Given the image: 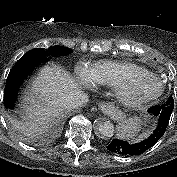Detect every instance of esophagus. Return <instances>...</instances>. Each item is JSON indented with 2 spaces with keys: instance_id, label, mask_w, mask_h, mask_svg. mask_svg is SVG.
Returning a JSON list of instances; mask_svg holds the SVG:
<instances>
[{
  "instance_id": "esophagus-1",
  "label": "esophagus",
  "mask_w": 177,
  "mask_h": 177,
  "mask_svg": "<svg viewBox=\"0 0 177 177\" xmlns=\"http://www.w3.org/2000/svg\"><path fill=\"white\" fill-rule=\"evenodd\" d=\"M98 107L104 113H108L114 108L113 105L109 103H100Z\"/></svg>"
}]
</instances>
